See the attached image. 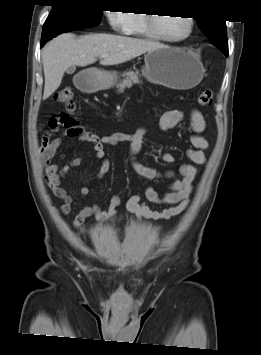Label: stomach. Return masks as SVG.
Masks as SVG:
<instances>
[{"label":"stomach","instance_id":"stomach-1","mask_svg":"<svg viewBox=\"0 0 261 355\" xmlns=\"http://www.w3.org/2000/svg\"><path fill=\"white\" fill-rule=\"evenodd\" d=\"M143 75L148 81L173 89H190L204 76L202 62L190 52L173 47H161L145 55ZM117 79L116 72L89 70L84 87L88 90L108 89Z\"/></svg>","mask_w":261,"mask_h":355}]
</instances>
